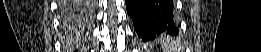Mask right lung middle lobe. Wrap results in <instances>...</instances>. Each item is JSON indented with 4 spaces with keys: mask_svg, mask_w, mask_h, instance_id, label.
<instances>
[{
    "mask_svg": "<svg viewBox=\"0 0 261 52\" xmlns=\"http://www.w3.org/2000/svg\"><path fill=\"white\" fill-rule=\"evenodd\" d=\"M84 7H85V4L83 2H80L79 3V9H78L79 12L75 13L72 17H66V19H71V21L81 20L82 17L80 15V13H81V10L85 9Z\"/></svg>",
    "mask_w": 261,
    "mask_h": 52,
    "instance_id": "dd1d6c3e",
    "label": "right lung middle lobe"
}]
</instances>
